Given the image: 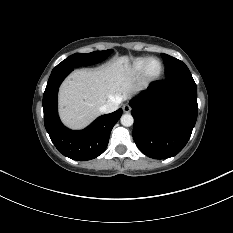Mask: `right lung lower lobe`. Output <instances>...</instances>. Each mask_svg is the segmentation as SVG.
<instances>
[{
  "label": "right lung lower lobe",
  "mask_w": 233,
  "mask_h": 233,
  "mask_svg": "<svg viewBox=\"0 0 233 233\" xmlns=\"http://www.w3.org/2000/svg\"><path fill=\"white\" fill-rule=\"evenodd\" d=\"M73 71L63 69L52 71L43 96L44 124L53 144L64 156L78 160H91L106 149L110 132L122 114L119 109L97 118L81 131H72L60 121L57 112V94L61 82Z\"/></svg>",
  "instance_id": "98d812e1"
}]
</instances>
